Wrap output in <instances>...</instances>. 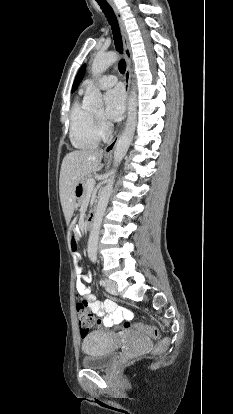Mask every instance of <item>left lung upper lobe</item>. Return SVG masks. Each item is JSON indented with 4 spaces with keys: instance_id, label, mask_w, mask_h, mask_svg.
Returning <instances> with one entry per match:
<instances>
[{
    "instance_id": "5c2ea615",
    "label": "left lung upper lobe",
    "mask_w": 233,
    "mask_h": 414,
    "mask_svg": "<svg viewBox=\"0 0 233 414\" xmlns=\"http://www.w3.org/2000/svg\"><path fill=\"white\" fill-rule=\"evenodd\" d=\"M84 71H85V65H83L81 67V69L79 70V72H78V74H77V76L75 78V81H74L73 87H72V92H74L77 89L79 83L81 82V80H82V78L84 76Z\"/></svg>"
}]
</instances>
